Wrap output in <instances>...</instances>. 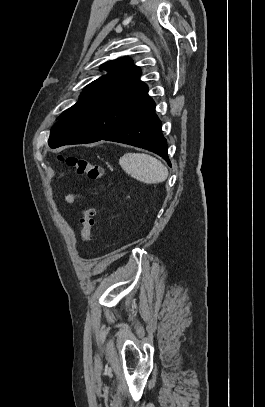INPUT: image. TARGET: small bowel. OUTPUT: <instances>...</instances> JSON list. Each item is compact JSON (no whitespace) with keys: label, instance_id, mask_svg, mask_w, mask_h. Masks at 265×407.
I'll list each match as a JSON object with an SVG mask.
<instances>
[{"label":"small bowel","instance_id":"c3829d8e","mask_svg":"<svg viewBox=\"0 0 265 407\" xmlns=\"http://www.w3.org/2000/svg\"><path fill=\"white\" fill-rule=\"evenodd\" d=\"M76 200H77V196H76V195H68V196L66 197V201H67L68 203H74Z\"/></svg>","mask_w":265,"mask_h":407}]
</instances>
